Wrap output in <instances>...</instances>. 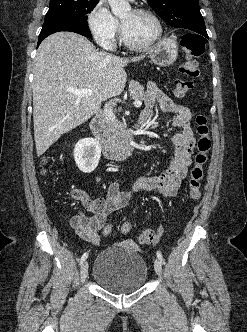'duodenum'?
I'll return each mask as SVG.
<instances>
[{
    "instance_id": "1",
    "label": "duodenum",
    "mask_w": 247,
    "mask_h": 332,
    "mask_svg": "<svg viewBox=\"0 0 247 332\" xmlns=\"http://www.w3.org/2000/svg\"><path fill=\"white\" fill-rule=\"evenodd\" d=\"M145 119L140 117L139 123L142 125ZM90 128L94 136L100 142L102 147L103 154L108 159L113 160H125L130 158L134 151V144H125V145H115L107 135L104 125L103 118L101 113H97L90 122Z\"/></svg>"
}]
</instances>
